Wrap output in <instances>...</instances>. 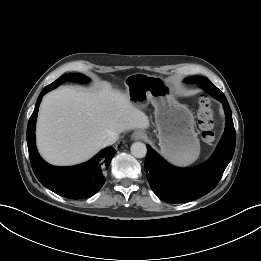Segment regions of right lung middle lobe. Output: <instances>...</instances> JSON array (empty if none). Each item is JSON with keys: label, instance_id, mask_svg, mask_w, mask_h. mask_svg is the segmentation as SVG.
Instances as JSON below:
<instances>
[{"label": "right lung middle lobe", "instance_id": "obj_1", "mask_svg": "<svg viewBox=\"0 0 261 261\" xmlns=\"http://www.w3.org/2000/svg\"><path fill=\"white\" fill-rule=\"evenodd\" d=\"M85 78H86V76L82 75V74H67V75L61 76L52 84H55V83L62 84L64 81H83V80H85Z\"/></svg>", "mask_w": 261, "mask_h": 261}]
</instances>
